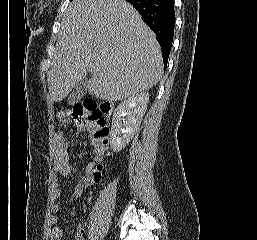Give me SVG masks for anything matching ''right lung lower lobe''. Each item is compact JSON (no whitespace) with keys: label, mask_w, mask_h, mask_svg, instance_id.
Segmentation results:
<instances>
[{"label":"right lung lower lobe","mask_w":257,"mask_h":240,"mask_svg":"<svg viewBox=\"0 0 257 240\" xmlns=\"http://www.w3.org/2000/svg\"><path fill=\"white\" fill-rule=\"evenodd\" d=\"M133 5L157 35L162 48L164 67L173 41L175 27L174 0H126Z\"/></svg>","instance_id":"1"}]
</instances>
